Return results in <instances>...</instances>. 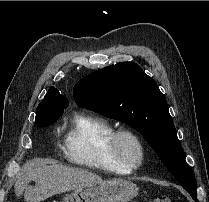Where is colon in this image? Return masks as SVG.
I'll use <instances>...</instances> for the list:
<instances>
[{
  "instance_id": "obj_1",
  "label": "colon",
  "mask_w": 209,
  "mask_h": 202,
  "mask_svg": "<svg viewBox=\"0 0 209 202\" xmlns=\"http://www.w3.org/2000/svg\"><path fill=\"white\" fill-rule=\"evenodd\" d=\"M147 202H171V200L169 197L159 196V197H155Z\"/></svg>"
}]
</instances>
